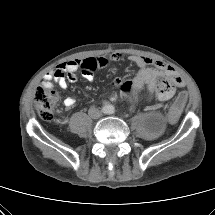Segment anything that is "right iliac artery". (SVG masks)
Listing matches in <instances>:
<instances>
[{
  "instance_id": "1",
  "label": "right iliac artery",
  "mask_w": 215,
  "mask_h": 215,
  "mask_svg": "<svg viewBox=\"0 0 215 215\" xmlns=\"http://www.w3.org/2000/svg\"><path fill=\"white\" fill-rule=\"evenodd\" d=\"M102 111L105 112L106 111L105 108H103Z\"/></svg>"
}]
</instances>
